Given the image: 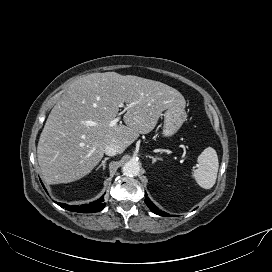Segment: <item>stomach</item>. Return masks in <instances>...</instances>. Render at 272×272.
<instances>
[{
	"label": "stomach",
	"mask_w": 272,
	"mask_h": 272,
	"mask_svg": "<svg viewBox=\"0 0 272 272\" xmlns=\"http://www.w3.org/2000/svg\"><path fill=\"white\" fill-rule=\"evenodd\" d=\"M162 134L166 138L172 137L186 120V112L183 106H173L166 109Z\"/></svg>",
	"instance_id": "stomach-1"
}]
</instances>
